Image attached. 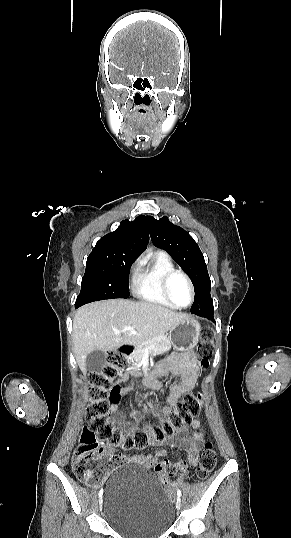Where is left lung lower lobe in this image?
<instances>
[{
	"label": "left lung lower lobe",
	"mask_w": 291,
	"mask_h": 538,
	"mask_svg": "<svg viewBox=\"0 0 291 538\" xmlns=\"http://www.w3.org/2000/svg\"><path fill=\"white\" fill-rule=\"evenodd\" d=\"M191 313H194L196 315L205 317V318L210 319L212 321L214 320V317H213V313H214L213 305L209 306V307H205V308H198L195 311H191Z\"/></svg>",
	"instance_id": "0a47b994"
}]
</instances>
